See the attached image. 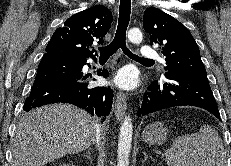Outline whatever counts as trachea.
I'll return each instance as SVG.
<instances>
[{
  "label": "trachea",
  "mask_w": 231,
  "mask_h": 166,
  "mask_svg": "<svg viewBox=\"0 0 231 166\" xmlns=\"http://www.w3.org/2000/svg\"><path fill=\"white\" fill-rule=\"evenodd\" d=\"M130 13L131 0H120L119 19L115 37L109 45L98 48L100 51V57L109 58L114 53H116L119 48H121L124 54L129 58L138 61H153L152 59L138 57L137 55L133 54L126 46V31L130 21Z\"/></svg>",
  "instance_id": "obj_1"
}]
</instances>
